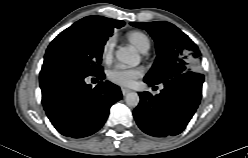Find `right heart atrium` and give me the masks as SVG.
Listing matches in <instances>:
<instances>
[{
  "label": "right heart atrium",
  "mask_w": 248,
  "mask_h": 158,
  "mask_svg": "<svg viewBox=\"0 0 248 158\" xmlns=\"http://www.w3.org/2000/svg\"><path fill=\"white\" fill-rule=\"evenodd\" d=\"M101 57L104 62H109L113 58V41L112 39H107L101 49Z\"/></svg>",
  "instance_id": "obj_1"
}]
</instances>
